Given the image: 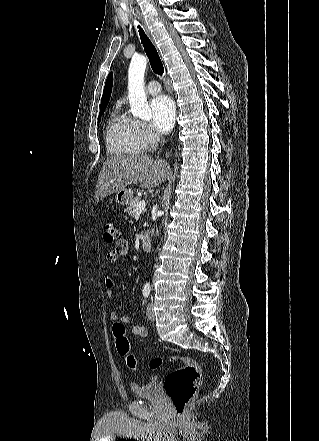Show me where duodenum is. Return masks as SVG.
Returning <instances> with one entry per match:
<instances>
[{"label":"duodenum","mask_w":319,"mask_h":441,"mask_svg":"<svg viewBox=\"0 0 319 441\" xmlns=\"http://www.w3.org/2000/svg\"><path fill=\"white\" fill-rule=\"evenodd\" d=\"M141 244H142V248L145 251L150 250V248H151V237H150L149 233L143 234L142 239H141Z\"/></svg>","instance_id":"duodenum-1"}]
</instances>
